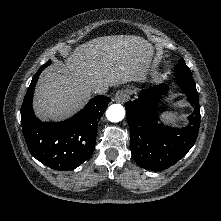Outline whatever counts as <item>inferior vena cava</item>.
Returning a JSON list of instances; mask_svg holds the SVG:
<instances>
[{
    "label": "inferior vena cava",
    "instance_id": "obj_1",
    "mask_svg": "<svg viewBox=\"0 0 221 221\" xmlns=\"http://www.w3.org/2000/svg\"><path fill=\"white\" fill-rule=\"evenodd\" d=\"M106 92V90L105 89H102V88H98L97 90H96V93H98V94H103V93H105Z\"/></svg>",
    "mask_w": 221,
    "mask_h": 221
}]
</instances>
